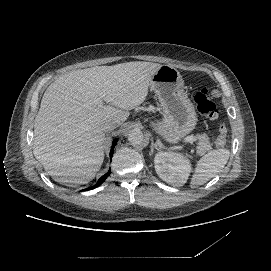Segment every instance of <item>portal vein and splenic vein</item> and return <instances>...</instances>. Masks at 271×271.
<instances>
[{"instance_id": "obj_1", "label": "portal vein and splenic vein", "mask_w": 271, "mask_h": 271, "mask_svg": "<svg viewBox=\"0 0 271 271\" xmlns=\"http://www.w3.org/2000/svg\"><path fill=\"white\" fill-rule=\"evenodd\" d=\"M187 142L189 144H195L196 143V138L193 136H190L189 138H187Z\"/></svg>"}]
</instances>
